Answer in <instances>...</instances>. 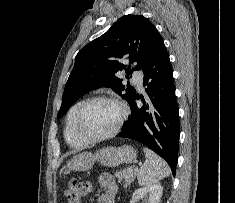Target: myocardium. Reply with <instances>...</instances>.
<instances>
[{
	"label": "myocardium",
	"mask_w": 235,
	"mask_h": 203,
	"mask_svg": "<svg viewBox=\"0 0 235 203\" xmlns=\"http://www.w3.org/2000/svg\"><path fill=\"white\" fill-rule=\"evenodd\" d=\"M99 101H109V102H113V103L117 104L121 109V115H120V118H119L116 126L110 132H108L104 135H100V136H89V135L85 134L84 132H82V130L80 128V123H81V120H82V117H83L85 111L92 104L99 102ZM128 116H129V108L123 100H121L117 97H114V96H110V95H97V96L91 97V98L87 99L86 101H84L83 104L78 109V111L75 115V119H74V131L78 135V137H80L83 141H85L87 143L101 142V141L110 139V138L114 137L115 135H117L120 132V130L122 129L123 125L125 124Z\"/></svg>",
	"instance_id": "f54148a6"
}]
</instances>
